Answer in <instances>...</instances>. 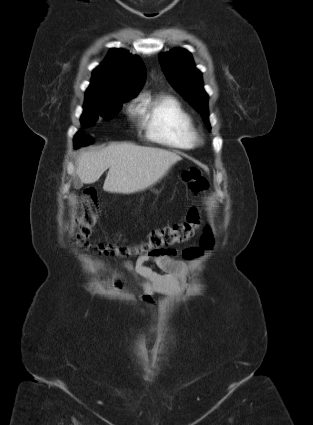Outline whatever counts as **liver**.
<instances>
[{
	"mask_svg": "<svg viewBox=\"0 0 313 425\" xmlns=\"http://www.w3.org/2000/svg\"><path fill=\"white\" fill-rule=\"evenodd\" d=\"M182 158L173 152L132 143H113L105 148L83 151L76 174L82 183L92 184L107 170L103 189L132 194L154 185Z\"/></svg>",
	"mask_w": 313,
	"mask_h": 425,
	"instance_id": "6515ba94",
	"label": "liver"
}]
</instances>
